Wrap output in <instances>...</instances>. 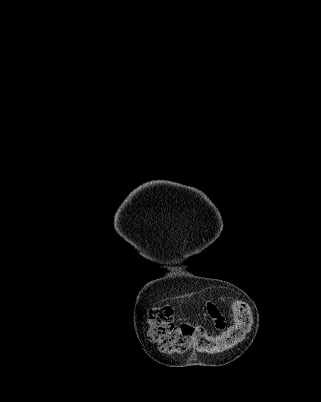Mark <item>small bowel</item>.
Returning a JSON list of instances; mask_svg holds the SVG:
<instances>
[{
    "mask_svg": "<svg viewBox=\"0 0 321 402\" xmlns=\"http://www.w3.org/2000/svg\"><path fill=\"white\" fill-rule=\"evenodd\" d=\"M205 309L209 317L212 319L215 328L223 330L226 327V318L214 302H207Z\"/></svg>",
    "mask_w": 321,
    "mask_h": 402,
    "instance_id": "c3829d8e",
    "label": "small bowel"
}]
</instances>
